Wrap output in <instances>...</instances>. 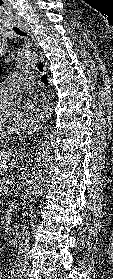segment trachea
<instances>
[{"label":"trachea","mask_w":113,"mask_h":279,"mask_svg":"<svg viewBox=\"0 0 113 279\" xmlns=\"http://www.w3.org/2000/svg\"><path fill=\"white\" fill-rule=\"evenodd\" d=\"M13 30L16 32V34H18V35H24L25 36V34L22 32V31H20L17 27H13ZM41 80H42V82L44 83V84H48V79H47V75H43L42 77H41Z\"/></svg>","instance_id":"1"}]
</instances>
